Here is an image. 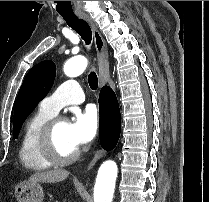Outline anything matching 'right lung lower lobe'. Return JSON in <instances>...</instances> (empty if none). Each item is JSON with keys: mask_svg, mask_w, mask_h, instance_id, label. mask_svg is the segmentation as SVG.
Segmentation results:
<instances>
[{"mask_svg": "<svg viewBox=\"0 0 209 202\" xmlns=\"http://www.w3.org/2000/svg\"><path fill=\"white\" fill-rule=\"evenodd\" d=\"M99 112V136L101 146L109 151L116 146L121 129L118 101L114 91L109 86H104L100 91Z\"/></svg>", "mask_w": 209, "mask_h": 202, "instance_id": "1", "label": "right lung lower lobe"}]
</instances>
